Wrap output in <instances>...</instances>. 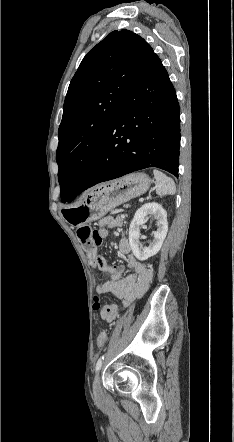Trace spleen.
Returning a JSON list of instances; mask_svg holds the SVG:
<instances>
[{
	"instance_id": "1",
	"label": "spleen",
	"mask_w": 234,
	"mask_h": 442,
	"mask_svg": "<svg viewBox=\"0 0 234 442\" xmlns=\"http://www.w3.org/2000/svg\"><path fill=\"white\" fill-rule=\"evenodd\" d=\"M153 174L156 179V193L159 196L175 194L176 186L172 178L168 177L158 169H154Z\"/></svg>"
}]
</instances>
